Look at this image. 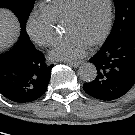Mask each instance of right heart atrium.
Here are the masks:
<instances>
[{"instance_id": "obj_1", "label": "right heart atrium", "mask_w": 135, "mask_h": 135, "mask_svg": "<svg viewBox=\"0 0 135 135\" xmlns=\"http://www.w3.org/2000/svg\"><path fill=\"white\" fill-rule=\"evenodd\" d=\"M30 38L40 46L52 45L56 40L55 23L44 11L33 12L26 24Z\"/></svg>"}]
</instances>
